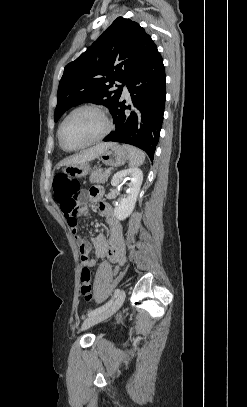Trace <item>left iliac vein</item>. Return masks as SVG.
I'll use <instances>...</instances> for the list:
<instances>
[{
  "label": "left iliac vein",
  "instance_id": "left-iliac-vein-1",
  "mask_svg": "<svg viewBox=\"0 0 247 407\" xmlns=\"http://www.w3.org/2000/svg\"><path fill=\"white\" fill-rule=\"evenodd\" d=\"M125 300V291L122 290L120 291L119 295L116 297V299L114 300V302L104 311L90 316L89 318H87L82 326H81V330H86L88 328H90L91 326L98 324L104 320H106L107 318L111 317L114 313H116L119 308L122 306L123 302Z\"/></svg>",
  "mask_w": 247,
  "mask_h": 407
}]
</instances>
